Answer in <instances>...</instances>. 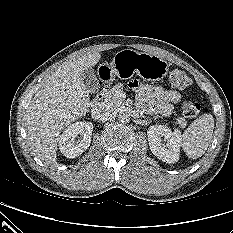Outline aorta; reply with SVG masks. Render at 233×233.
Listing matches in <instances>:
<instances>
[{
	"instance_id": "obj_1",
	"label": "aorta",
	"mask_w": 233,
	"mask_h": 233,
	"mask_svg": "<svg viewBox=\"0 0 233 233\" xmlns=\"http://www.w3.org/2000/svg\"><path fill=\"white\" fill-rule=\"evenodd\" d=\"M118 120L121 123H128L130 121V115L127 112L122 111L118 114Z\"/></svg>"
}]
</instances>
